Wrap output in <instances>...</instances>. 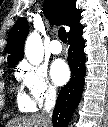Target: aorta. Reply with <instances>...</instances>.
I'll list each match as a JSON object with an SVG mask.
<instances>
[{
	"instance_id": "1",
	"label": "aorta",
	"mask_w": 108,
	"mask_h": 127,
	"mask_svg": "<svg viewBox=\"0 0 108 127\" xmlns=\"http://www.w3.org/2000/svg\"><path fill=\"white\" fill-rule=\"evenodd\" d=\"M25 56L30 64L39 65L43 61L44 48L37 32L29 34L25 43Z\"/></svg>"
}]
</instances>
